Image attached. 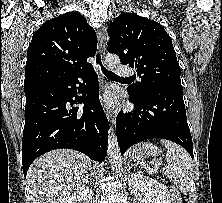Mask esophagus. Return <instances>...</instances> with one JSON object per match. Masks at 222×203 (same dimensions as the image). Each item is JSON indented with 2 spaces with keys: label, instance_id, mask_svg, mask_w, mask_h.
<instances>
[{
  "label": "esophagus",
  "instance_id": "34e87169",
  "mask_svg": "<svg viewBox=\"0 0 222 203\" xmlns=\"http://www.w3.org/2000/svg\"><path fill=\"white\" fill-rule=\"evenodd\" d=\"M97 37H98V43H99V47H98L99 53L101 56H104V49H105V42H106V26L105 25H103L99 29L97 33ZM98 73L100 75L101 81L103 82L104 77L100 68H98ZM103 108L110 122L115 123L116 115L114 114V112L105 103H103Z\"/></svg>",
  "mask_w": 222,
  "mask_h": 203
}]
</instances>
